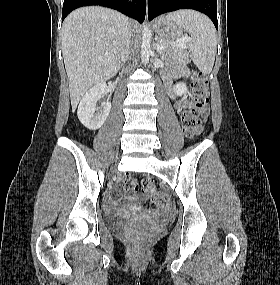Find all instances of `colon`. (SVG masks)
<instances>
[{"mask_svg": "<svg viewBox=\"0 0 280 285\" xmlns=\"http://www.w3.org/2000/svg\"><path fill=\"white\" fill-rule=\"evenodd\" d=\"M209 100V79L208 75L201 71L194 72L193 94L187 107L181 114V122L184 133L190 138L200 135L203 129L201 113ZM123 181L135 191L150 197L153 206H163L167 203V195L157 191L154 183L149 179L138 182L135 178L126 175ZM136 239L135 243L139 244Z\"/></svg>", "mask_w": 280, "mask_h": 285, "instance_id": "obj_1", "label": "colon"}]
</instances>
